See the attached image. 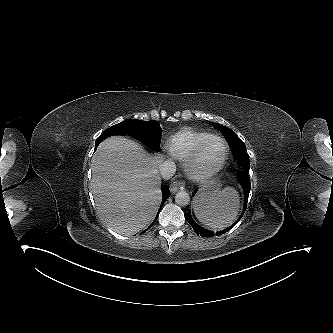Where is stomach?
<instances>
[{
	"mask_svg": "<svg viewBox=\"0 0 333 333\" xmlns=\"http://www.w3.org/2000/svg\"><path fill=\"white\" fill-rule=\"evenodd\" d=\"M220 187L221 184L219 182H217L216 180H211L203 186L199 194L203 196H210L218 192Z\"/></svg>",
	"mask_w": 333,
	"mask_h": 333,
	"instance_id": "obj_1",
	"label": "stomach"
}]
</instances>
